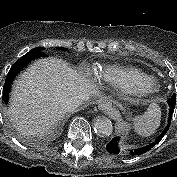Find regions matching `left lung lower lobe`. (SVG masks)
Returning <instances> with one entry per match:
<instances>
[{
	"instance_id": "left-lung-lower-lobe-1",
	"label": "left lung lower lobe",
	"mask_w": 177,
	"mask_h": 177,
	"mask_svg": "<svg viewBox=\"0 0 177 177\" xmlns=\"http://www.w3.org/2000/svg\"><path fill=\"white\" fill-rule=\"evenodd\" d=\"M168 102V105H169V115H168V125L165 127V129L162 131V133L156 138V140L145 146V147H141V148H138V149H134L133 150H130V154L131 155H140V154H143L147 151H149L154 145H156L162 138L163 136L167 133L168 129H169V126H170V123H171V119H172V115H173V112H174V108H175V104H176V98L172 97V98H169L167 100ZM118 142H119V138L118 137H114L107 145H106V149L112 153V154H119L120 152V149H119V146H118Z\"/></svg>"
}]
</instances>
